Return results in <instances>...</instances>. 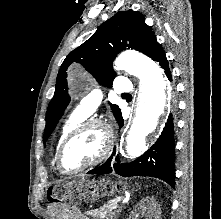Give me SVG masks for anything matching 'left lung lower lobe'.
<instances>
[{
  "mask_svg": "<svg viewBox=\"0 0 221 219\" xmlns=\"http://www.w3.org/2000/svg\"><path fill=\"white\" fill-rule=\"evenodd\" d=\"M154 61L164 69L168 79L172 76L168 67V61L161 45H159L152 55ZM123 126V119L118 122ZM115 155V149L112 156ZM112 156L101 166L89 171L87 174H109L115 171L123 177L131 176H151L164 180L172 187L175 186V149H174V124L172 115L169 116L165 127L155 144L135 161L126 164H120L119 157L111 165Z\"/></svg>",
  "mask_w": 221,
  "mask_h": 219,
  "instance_id": "left-lung-lower-lobe-1",
  "label": "left lung lower lobe"
}]
</instances>
